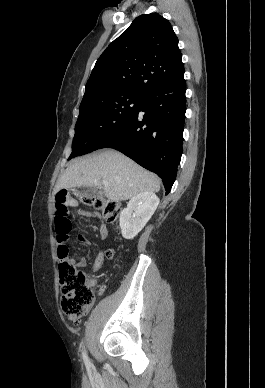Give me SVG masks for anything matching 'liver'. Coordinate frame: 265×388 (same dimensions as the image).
<instances>
[{
    "label": "liver",
    "mask_w": 265,
    "mask_h": 388,
    "mask_svg": "<svg viewBox=\"0 0 265 388\" xmlns=\"http://www.w3.org/2000/svg\"><path fill=\"white\" fill-rule=\"evenodd\" d=\"M102 180H107L108 188H103ZM98 188L108 200L122 202L130 200L142 192H159L160 182L151 172L143 170L115 150H106L93 158H76L59 178L55 190L62 188Z\"/></svg>",
    "instance_id": "obj_1"
}]
</instances>
